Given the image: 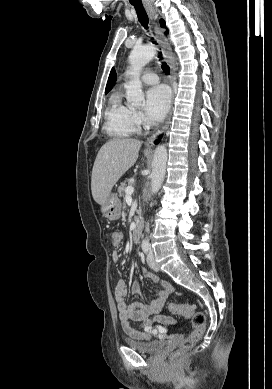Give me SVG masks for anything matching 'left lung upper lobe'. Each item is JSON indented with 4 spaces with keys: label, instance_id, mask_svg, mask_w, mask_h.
<instances>
[{
    "label": "left lung upper lobe",
    "instance_id": "1",
    "mask_svg": "<svg viewBox=\"0 0 272 389\" xmlns=\"http://www.w3.org/2000/svg\"><path fill=\"white\" fill-rule=\"evenodd\" d=\"M160 24H161V27L165 28V21L164 20H160Z\"/></svg>",
    "mask_w": 272,
    "mask_h": 389
}]
</instances>
